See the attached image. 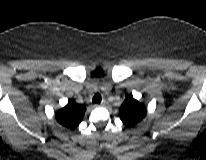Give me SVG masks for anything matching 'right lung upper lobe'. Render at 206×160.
I'll return each instance as SVG.
<instances>
[{"mask_svg": "<svg viewBox=\"0 0 206 160\" xmlns=\"http://www.w3.org/2000/svg\"><path fill=\"white\" fill-rule=\"evenodd\" d=\"M86 108L74 101H68V104L55 113V118L59 124L68 128L75 129L84 116Z\"/></svg>", "mask_w": 206, "mask_h": 160, "instance_id": "cb5924a9", "label": "right lung upper lobe"}]
</instances>
